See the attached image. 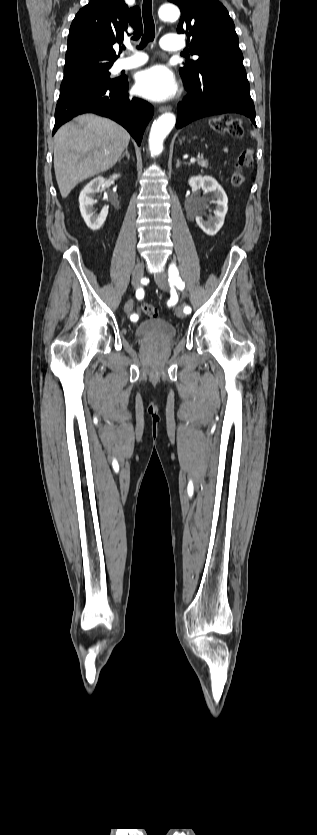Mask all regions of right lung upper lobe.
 I'll list each match as a JSON object with an SVG mask.
<instances>
[{"label": "right lung upper lobe", "mask_w": 317, "mask_h": 835, "mask_svg": "<svg viewBox=\"0 0 317 835\" xmlns=\"http://www.w3.org/2000/svg\"><path fill=\"white\" fill-rule=\"evenodd\" d=\"M129 27L133 28L135 38L141 36L139 7L128 9L124 0H91L71 24L66 59L85 56L114 62L118 56L112 45L131 35Z\"/></svg>", "instance_id": "1"}]
</instances>
